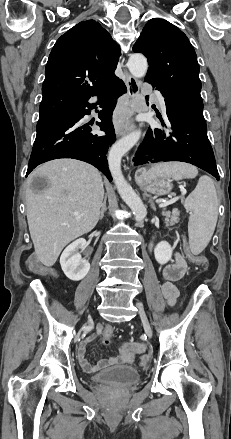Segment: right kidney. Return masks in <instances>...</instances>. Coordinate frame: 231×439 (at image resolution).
<instances>
[{
	"label": "right kidney",
	"instance_id": "1",
	"mask_svg": "<svg viewBox=\"0 0 231 439\" xmlns=\"http://www.w3.org/2000/svg\"><path fill=\"white\" fill-rule=\"evenodd\" d=\"M87 246L84 238H79L65 248L60 257V264L64 274L73 281L83 279L89 272L90 263L82 259L79 250Z\"/></svg>",
	"mask_w": 231,
	"mask_h": 439
}]
</instances>
